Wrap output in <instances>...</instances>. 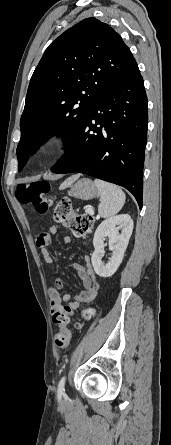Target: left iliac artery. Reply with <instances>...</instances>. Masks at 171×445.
<instances>
[{"label":"left iliac artery","mask_w":171,"mask_h":445,"mask_svg":"<svg viewBox=\"0 0 171 445\" xmlns=\"http://www.w3.org/2000/svg\"><path fill=\"white\" fill-rule=\"evenodd\" d=\"M65 386V376H63L58 384V392H63Z\"/></svg>","instance_id":"1"}]
</instances>
